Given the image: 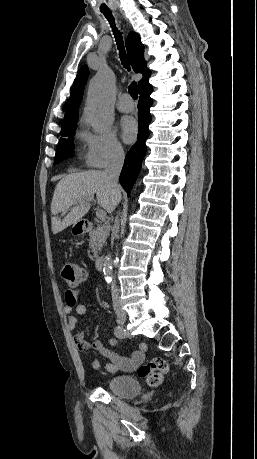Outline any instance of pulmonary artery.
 Returning a JSON list of instances; mask_svg holds the SVG:
<instances>
[{"mask_svg":"<svg viewBox=\"0 0 257 459\" xmlns=\"http://www.w3.org/2000/svg\"><path fill=\"white\" fill-rule=\"evenodd\" d=\"M117 109L121 112L127 113L134 109V103L128 94L122 95L117 101Z\"/></svg>","mask_w":257,"mask_h":459,"instance_id":"pulmonary-artery-1","label":"pulmonary artery"}]
</instances>
